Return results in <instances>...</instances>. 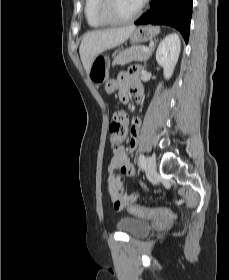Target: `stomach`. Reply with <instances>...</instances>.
Here are the masks:
<instances>
[{"instance_id": "obj_1", "label": "stomach", "mask_w": 229, "mask_h": 280, "mask_svg": "<svg viewBox=\"0 0 229 280\" xmlns=\"http://www.w3.org/2000/svg\"><path fill=\"white\" fill-rule=\"evenodd\" d=\"M160 32V28L152 25L136 28L130 36L133 44L153 40ZM110 59L107 56H97L93 59L88 71V77L94 83H104L109 79Z\"/></svg>"}]
</instances>
